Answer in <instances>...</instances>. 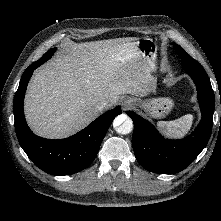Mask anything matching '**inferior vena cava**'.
Segmentation results:
<instances>
[{"label":"inferior vena cava","instance_id":"602c4592","mask_svg":"<svg viewBox=\"0 0 221 221\" xmlns=\"http://www.w3.org/2000/svg\"><path fill=\"white\" fill-rule=\"evenodd\" d=\"M108 105L107 100L105 99H101L97 102L96 104V108L99 110H103L106 106Z\"/></svg>","mask_w":221,"mask_h":221}]
</instances>
